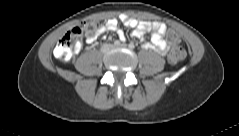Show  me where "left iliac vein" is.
<instances>
[{
  "label": "left iliac vein",
  "mask_w": 239,
  "mask_h": 136,
  "mask_svg": "<svg viewBox=\"0 0 239 136\" xmlns=\"http://www.w3.org/2000/svg\"><path fill=\"white\" fill-rule=\"evenodd\" d=\"M121 46H122V47H126V44H122Z\"/></svg>",
  "instance_id": "obj_1"
}]
</instances>
